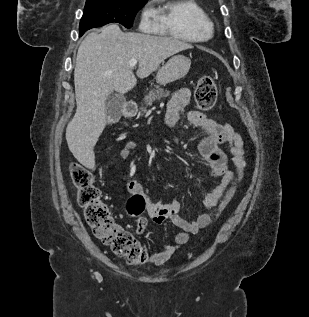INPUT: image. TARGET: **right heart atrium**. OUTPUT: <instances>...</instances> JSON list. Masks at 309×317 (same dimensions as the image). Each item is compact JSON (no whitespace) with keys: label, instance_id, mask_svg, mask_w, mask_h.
<instances>
[{"label":"right heart atrium","instance_id":"1","mask_svg":"<svg viewBox=\"0 0 309 317\" xmlns=\"http://www.w3.org/2000/svg\"><path fill=\"white\" fill-rule=\"evenodd\" d=\"M152 17H153L152 9H150L149 7H146L142 12L141 25L143 27L148 26L151 22Z\"/></svg>","mask_w":309,"mask_h":317}]
</instances>
